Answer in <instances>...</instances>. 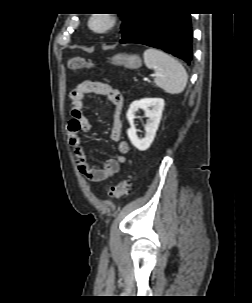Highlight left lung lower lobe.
Wrapping results in <instances>:
<instances>
[{"label":"left lung lower lobe","instance_id":"0a47b994","mask_svg":"<svg viewBox=\"0 0 252 303\" xmlns=\"http://www.w3.org/2000/svg\"><path fill=\"white\" fill-rule=\"evenodd\" d=\"M120 43H138L162 49L191 64L193 53L190 14L143 12L138 24Z\"/></svg>","mask_w":252,"mask_h":303}]
</instances>
